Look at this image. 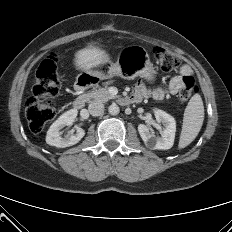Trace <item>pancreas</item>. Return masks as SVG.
<instances>
[{
    "instance_id": "obj_1",
    "label": "pancreas",
    "mask_w": 232,
    "mask_h": 232,
    "mask_svg": "<svg viewBox=\"0 0 232 232\" xmlns=\"http://www.w3.org/2000/svg\"><path fill=\"white\" fill-rule=\"evenodd\" d=\"M85 97L89 102H100L105 103L110 99H114L115 96L112 95L107 87L95 89L87 94H85Z\"/></svg>"
}]
</instances>
